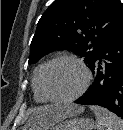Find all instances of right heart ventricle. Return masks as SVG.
<instances>
[{
  "label": "right heart ventricle",
  "mask_w": 123,
  "mask_h": 130,
  "mask_svg": "<svg viewBox=\"0 0 123 130\" xmlns=\"http://www.w3.org/2000/svg\"><path fill=\"white\" fill-rule=\"evenodd\" d=\"M47 62H42L40 63L33 72L32 75V90H33V94H34V99L36 100V102L38 103H45L47 100L45 99V97L43 96L41 89H40V76H41V72L45 66Z\"/></svg>",
  "instance_id": "1"
}]
</instances>
